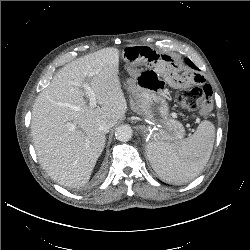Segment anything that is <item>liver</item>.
<instances>
[{"mask_svg":"<svg viewBox=\"0 0 250 250\" xmlns=\"http://www.w3.org/2000/svg\"><path fill=\"white\" fill-rule=\"evenodd\" d=\"M119 50L103 48L65 65L37 96L31 133L42 168L58 184L81 187L88 183L105 147L98 126L111 127L124 117L127 103L119 79ZM92 73L93 75L88 77ZM90 82L97 103L90 107L81 89Z\"/></svg>","mask_w":250,"mask_h":250,"instance_id":"liver-1","label":"liver"}]
</instances>
